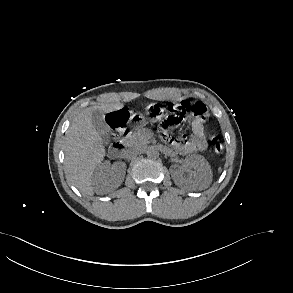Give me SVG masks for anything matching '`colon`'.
Returning a JSON list of instances; mask_svg holds the SVG:
<instances>
[{
    "label": "colon",
    "instance_id": "obj_1",
    "mask_svg": "<svg viewBox=\"0 0 293 293\" xmlns=\"http://www.w3.org/2000/svg\"><path fill=\"white\" fill-rule=\"evenodd\" d=\"M169 115L160 124V131L166 137H170V131L179 126L185 117L194 116L201 120H205L208 116V110L205 104L201 102H192L188 99H182L170 102L168 104ZM127 120V114L123 110L111 113L109 125L111 133L109 140L111 143H117L121 137V127ZM180 137L179 139H182ZM213 151L216 154L223 152V145L220 139L216 136L211 137Z\"/></svg>",
    "mask_w": 293,
    "mask_h": 293
}]
</instances>
